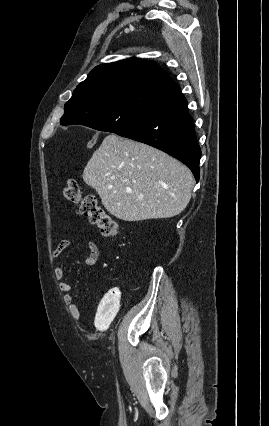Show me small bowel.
Segmentation results:
<instances>
[{"mask_svg": "<svg viewBox=\"0 0 269 426\" xmlns=\"http://www.w3.org/2000/svg\"><path fill=\"white\" fill-rule=\"evenodd\" d=\"M72 244V241L70 239H63L61 240L55 250L53 251V257L57 258L59 257L63 251H65L70 245ZM99 257V249L95 242L88 241L86 244V254H85V263L88 266H93L96 264ZM54 276L56 280L58 281V288L59 290L64 293L63 301L64 304L69 307L71 313L73 316H79L80 315V309L75 304V298L70 293L71 291V285L64 280L65 276V269L62 265H59L56 267L54 271Z\"/></svg>", "mask_w": 269, "mask_h": 426, "instance_id": "c3829d8e", "label": "small bowel"}]
</instances>
